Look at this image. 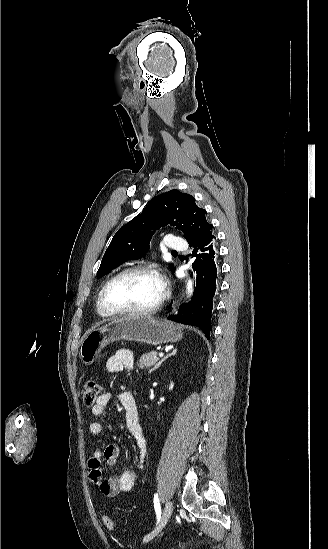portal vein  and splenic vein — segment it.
<instances>
[{"label":"portal vein and splenic vein","mask_w":328,"mask_h":549,"mask_svg":"<svg viewBox=\"0 0 328 549\" xmlns=\"http://www.w3.org/2000/svg\"><path fill=\"white\" fill-rule=\"evenodd\" d=\"M159 356H160V357H163V353H159Z\"/></svg>","instance_id":"18ae733b"}]
</instances>
